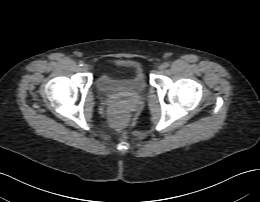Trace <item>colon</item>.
Here are the masks:
<instances>
[{
  "mask_svg": "<svg viewBox=\"0 0 260 202\" xmlns=\"http://www.w3.org/2000/svg\"><path fill=\"white\" fill-rule=\"evenodd\" d=\"M110 116H111V121L114 124H116L118 126H122L127 121L128 113L125 108H118V109L113 110L111 112Z\"/></svg>",
  "mask_w": 260,
  "mask_h": 202,
  "instance_id": "5ec220e1",
  "label": "colon"
}]
</instances>
